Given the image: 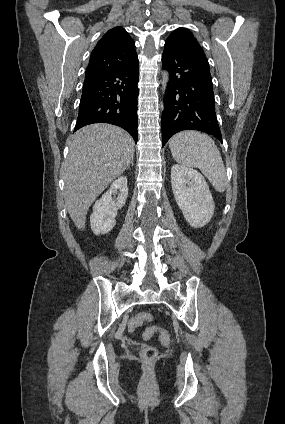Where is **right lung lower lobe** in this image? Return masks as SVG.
<instances>
[{
	"instance_id": "obj_1",
	"label": "right lung lower lobe",
	"mask_w": 285,
	"mask_h": 424,
	"mask_svg": "<svg viewBox=\"0 0 285 424\" xmlns=\"http://www.w3.org/2000/svg\"><path fill=\"white\" fill-rule=\"evenodd\" d=\"M138 60L106 74L85 78L74 131L93 123H110L138 139Z\"/></svg>"
}]
</instances>
